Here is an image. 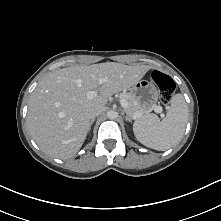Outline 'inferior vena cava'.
Returning a JSON list of instances; mask_svg holds the SVG:
<instances>
[{
  "label": "inferior vena cava",
  "mask_w": 221,
  "mask_h": 221,
  "mask_svg": "<svg viewBox=\"0 0 221 221\" xmlns=\"http://www.w3.org/2000/svg\"><path fill=\"white\" fill-rule=\"evenodd\" d=\"M104 108H96L95 110L92 111L91 113V119L95 118V116L100 115L101 113H103Z\"/></svg>",
  "instance_id": "602c4592"
}]
</instances>
